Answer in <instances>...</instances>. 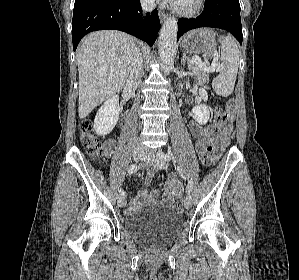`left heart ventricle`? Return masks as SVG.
Masks as SVG:
<instances>
[{
	"mask_svg": "<svg viewBox=\"0 0 299 280\" xmlns=\"http://www.w3.org/2000/svg\"><path fill=\"white\" fill-rule=\"evenodd\" d=\"M196 0H179L178 5L184 8H189L195 4Z\"/></svg>",
	"mask_w": 299,
	"mask_h": 280,
	"instance_id": "b2bd125f",
	"label": "left heart ventricle"
}]
</instances>
